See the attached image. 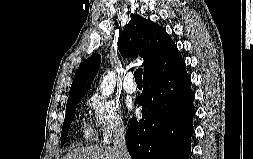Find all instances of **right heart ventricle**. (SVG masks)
<instances>
[{
  "instance_id": "e07e8e85",
  "label": "right heart ventricle",
  "mask_w": 253,
  "mask_h": 159,
  "mask_svg": "<svg viewBox=\"0 0 253 159\" xmlns=\"http://www.w3.org/2000/svg\"><path fill=\"white\" fill-rule=\"evenodd\" d=\"M83 135L85 138H89L92 134V128L88 125L83 126Z\"/></svg>"
}]
</instances>
